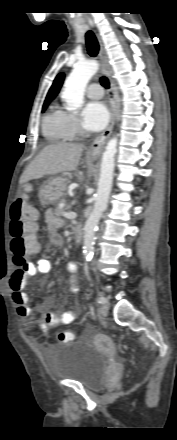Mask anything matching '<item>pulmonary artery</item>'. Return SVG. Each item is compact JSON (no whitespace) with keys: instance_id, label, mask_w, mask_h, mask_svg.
<instances>
[{"instance_id":"pulmonary-artery-1","label":"pulmonary artery","mask_w":177,"mask_h":440,"mask_svg":"<svg viewBox=\"0 0 177 440\" xmlns=\"http://www.w3.org/2000/svg\"><path fill=\"white\" fill-rule=\"evenodd\" d=\"M104 95V90L100 84L93 83L87 89V96L91 99H100Z\"/></svg>"}]
</instances>
